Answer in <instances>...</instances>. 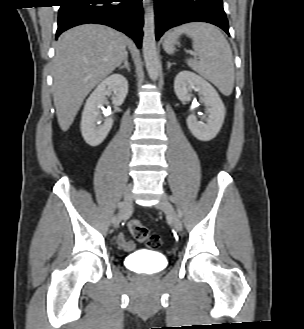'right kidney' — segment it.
<instances>
[{
    "label": "right kidney",
    "instance_id": "ca27d5eb",
    "mask_svg": "<svg viewBox=\"0 0 304 329\" xmlns=\"http://www.w3.org/2000/svg\"><path fill=\"white\" fill-rule=\"evenodd\" d=\"M127 93L128 81L120 74L110 75L92 92L84 106L80 125L82 136L87 144L93 147L98 146L112 128V118L105 119L102 125L98 122L101 109L107 103V97L112 96L113 105L120 106Z\"/></svg>",
    "mask_w": 304,
    "mask_h": 329
}]
</instances>
